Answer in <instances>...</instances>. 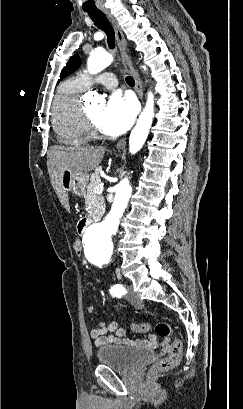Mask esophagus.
Wrapping results in <instances>:
<instances>
[{"label": "esophagus", "mask_w": 243, "mask_h": 409, "mask_svg": "<svg viewBox=\"0 0 243 409\" xmlns=\"http://www.w3.org/2000/svg\"><path fill=\"white\" fill-rule=\"evenodd\" d=\"M103 13L106 15L107 19L110 21V23L112 24L114 30H115V34H116V39H117V43H118V47L120 50V54H121V58H122V62L123 65L126 69L127 72H129L132 77L135 80V89L137 92V95L141 101V103L143 104V87H142V83L140 80V77L138 75V73L136 72V70L134 69L130 56L128 54V49H127V42L125 40L124 34L121 31L120 27L118 26V24L116 23L115 19L113 18L112 14L107 10V9H103ZM126 145V140L125 139H121L116 147L117 149H123Z\"/></svg>", "instance_id": "34e87169"}]
</instances>
